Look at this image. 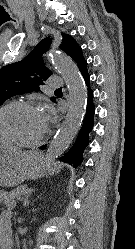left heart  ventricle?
Wrapping results in <instances>:
<instances>
[{"label": "left heart ventricle", "mask_w": 135, "mask_h": 249, "mask_svg": "<svg viewBox=\"0 0 135 249\" xmlns=\"http://www.w3.org/2000/svg\"><path fill=\"white\" fill-rule=\"evenodd\" d=\"M41 110L11 107L0 114V136L33 141L44 131Z\"/></svg>", "instance_id": "left-heart-ventricle-1"}]
</instances>
